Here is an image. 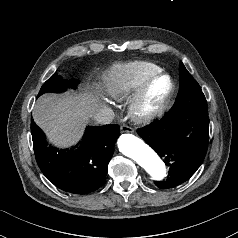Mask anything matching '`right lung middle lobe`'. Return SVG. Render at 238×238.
Listing matches in <instances>:
<instances>
[{
    "label": "right lung middle lobe",
    "mask_w": 238,
    "mask_h": 238,
    "mask_svg": "<svg viewBox=\"0 0 238 238\" xmlns=\"http://www.w3.org/2000/svg\"><path fill=\"white\" fill-rule=\"evenodd\" d=\"M68 86L74 87L76 83L74 82H66L60 79L58 76L53 74L41 87L38 96L46 93V92H60L65 90Z\"/></svg>",
    "instance_id": "obj_1"
}]
</instances>
